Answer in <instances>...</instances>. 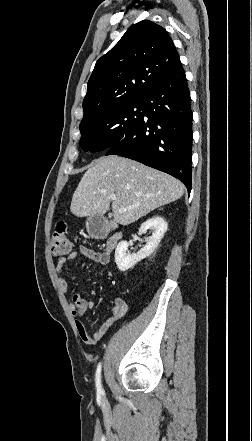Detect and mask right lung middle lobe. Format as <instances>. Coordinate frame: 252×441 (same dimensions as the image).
<instances>
[{"label": "right lung middle lobe", "instance_id": "obj_1", "mask_svg": "<svg viewBox=\"0 0 252 441\" xmlns=\"http://www.w3.org/2000/svg\"><path fill=\"white\" fill-rule=\"evenodd\" d=\"M141 100L104 110L81 122L79 145L84 151L107 150L127 136L142 118Z\"/></svg>", "mask_w": 252, "mask_h": 441}]
</instances>
